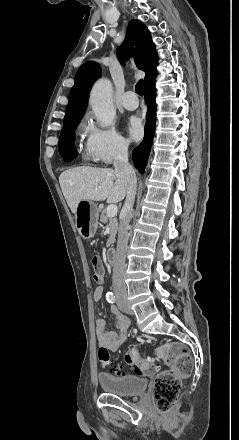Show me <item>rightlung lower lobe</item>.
Segmentation results:
<instances>
[{
  "instance_id": "right-lung-lower-lobe-1",
  "label": "right lung lower lobe",
  "mask_w": 239,
  "mask_h": 440,
  "mask_svg": "<svg viewBox=\"0 0 239 440\" xmlns=\"http://www.w3.org/2000/svg\"><path fill=\"white\" fill-rule=\"evenodd\" d=\"M157 72L145 80V103L148 106L146 115L145 135L142 143L133 150V162L140 173H144L149 157L156 122V103H155V78ZM66 161H71L77 156V151L74 148L68 149L61 153Z\"/></svg>"
}]
</instances>
